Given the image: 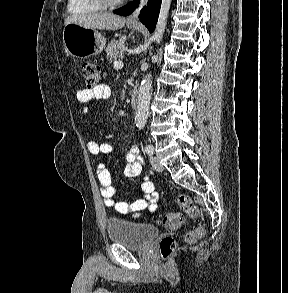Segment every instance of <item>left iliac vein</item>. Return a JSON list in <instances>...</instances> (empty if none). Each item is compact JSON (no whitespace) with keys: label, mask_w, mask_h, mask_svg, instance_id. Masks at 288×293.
<instances>
[{"label":"left iliac vein","mask_w":288,"mask_h":293,"mask_svg":"<svg viewBox=\"0 0 288 293\" xmlns=\"http://www.w3.org/2000/svg\"><path fill=\"white\" fill-rule=\"evenodd\" d=\"M150 162H151V165L155 171L162 172L164 170L163 165L160 163V161L157 157L151 156Z\"/></svg>","instance_id":"1"}]
</instances>
